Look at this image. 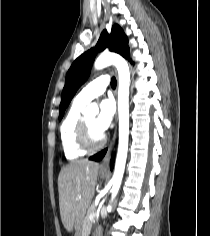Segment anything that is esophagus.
<instances>
[{
  "mask_svg": "<svg viewBox=\"0 0 210 236\" xmlns=\"http://www.w3.org/2000/svg\"><path fill=\"white\" fill-rule=\"evenodd\" d=\"M116 135H117V133H116V130H115L114 135H113V139L111 141V144L109 145L108 150H107L104 158L101 161V164H100V169L101 170L107 171L109 169V162H110L112 151H113L114 146H115Z\"/></svg>",
  "mask_w": 210,
  "mask_h": 236,
  "instance_id": "1",
  "label": "esophagus"
}]
</instances>
